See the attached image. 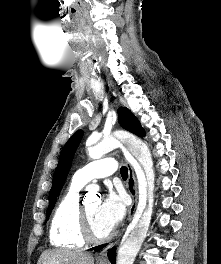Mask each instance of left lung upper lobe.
<instances>
[{"label":"left lung upper lobe","instance_id":"5c2ea615","mask_svg":"<svg viewBox=\"0 0 221 264\" xmlns=\"http://www.w3.org/2000/svg\"><path fill=\"white\" fill-rule=\"evenodd\" d=\"M118 121L119 124L126 130L139 135L144 136L145 131L141 127L138 119L133 115V113L126 107H120L118 109ZM83 137V131H77L66 143L61 151L58 166L54 172L52 188L49 193V207L47 209V219L56 203L57 196L59 195L65 179L69 173L72 160L77 147Z\"/></svg>","mask_w":221,"mask_h":264}]
</instances>
